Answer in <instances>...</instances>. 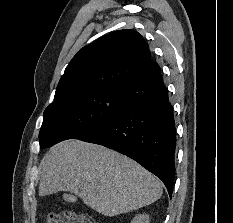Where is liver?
<instances>
[{"instance_id": "6515ba94", "label": "liver", "mask_w": 233, "mask_h": 223, "mask_svg": "<svg viewBox=\"0 0 233 223\" xmlns=\"http://www.w3.org/2000/svg\"><path fill=\"white\" fill-rule=\"evenodd\" d=\"M38 175V195L71 191L109 217L149 205L163 191L158 177L130 157L80 139L50 147L40 161Z\"/></svg>"}]
</instances>
